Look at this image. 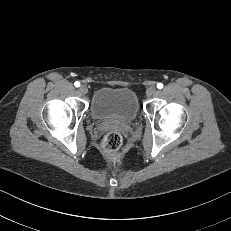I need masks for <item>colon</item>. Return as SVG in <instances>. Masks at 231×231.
<instances>
[{
  "instance_id": "5ec220e1",
  "label": "colon",
  "mask_w": 231,
  "mask_h": 231,
  "mask_svg": "<svg viewBox=\"0 0 231 231\" xmlns=\"http://www.w3.org/2000/svg\"><path fill=\"white\" fill-rule=\"evenodd\" d=\"M123 138L118 132H109L105 135L101 143L103 154L110 160L119 159L122 155L121 146Z\"/></svg>"
}]
</instances>
